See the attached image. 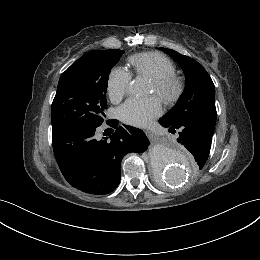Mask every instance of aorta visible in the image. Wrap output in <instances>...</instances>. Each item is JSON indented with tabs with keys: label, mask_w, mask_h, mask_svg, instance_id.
<instances>
[{
	"label": "aorta",
	"mask_w": 260,
	"mask_h": 260,
	"mask_svg": "<svg viewBox=\"0 0 260 260\" xmlns=\"http://www.w3.org/2000/svg\"><path fill=\"white\" fill-rule=\"evenodd\" d=\"M131 95H143L146 88L140 79H134L128 86ZM151 167L155 177L169 186L183 183L191 171V161L179 149L167 143H156L149 152Z\"/></svg>",
	"instance_id": "obj_1"
}]
</instances>
